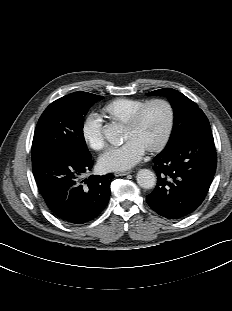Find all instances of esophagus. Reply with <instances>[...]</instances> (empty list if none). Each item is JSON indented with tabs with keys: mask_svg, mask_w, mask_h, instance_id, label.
<instances>
[{
	"mask_svg": "<svg viewBox=\"0 0 232 311\" xmlns=\"http://www.w3.org/2000/svg\"><path fill=\"white\" fill-rule=\"evenodd\" d=\"M132 171H121V172H115L114 173V175L115 176H125V175H127V174H129V173H131Z\"/></svg>",
	"mask_w": 232,
	"mask_h": 311,
	"instance_id": "obj_1",
	"label": "esophagus"
}]
</instances>
